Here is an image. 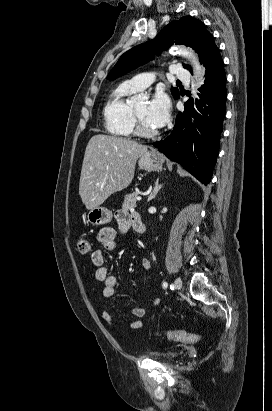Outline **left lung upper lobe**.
Returning <instances> with one entry per match:
<instances>
[{
    "mask_svg": "<svg viewBox=\"0 0 272 411\" xmlns=\"http://www.w3.org/2000/svg\"><path fill=\"white\" fill-rule=\"evenodd\" d=\"M173 43L192 47L199 54L200 62L203 65L217 48L213 36L206 30L205 25L200 20L186 16L169 23L155 39L125 52L109 72L107 79L114 80L147 63L153 59L154 54L165 50ZM183 66L191 71L189 65L183 64ZM171 92L175 99L179 98L180 94L177 88H172Z\"/></svg>",
    "mask_w": 272,
    "mask_h": 411,
    "instance_id": "5c2ea615",
    "label": "left lung upper lobe"
}]
</instances>
